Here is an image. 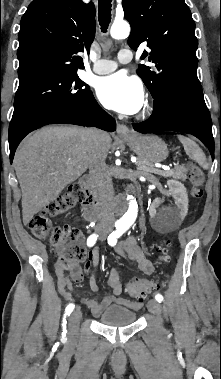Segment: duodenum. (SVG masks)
<instances>
[{
    "label": "duodenum",
    "instance_id": "duodenum-1",
    "mask_svg": "<svg viewBox=\"0 0 221 379\" xmlns=\"http://www.w3.org/2000/svg\"><path fill=\"white\" fill-rule=\"evenodd\" d=\"M80 186L86 193V198L82 203V210L85 218L89 221H97L103 215V206L96 198V194L92 187L91 178L84 176L80 180ZM126 207V201L124 198H118L114 204L116 213H121Z\"/></svg>",
    "mask_w": 221,
    "mask_h": 379
}]
</instances>
